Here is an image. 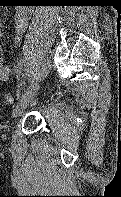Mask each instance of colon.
<instances>
[{
	"mask_svg": "<svg viewBox=\"0 0 121 197\" xmlns=\"http://www.w3.org/2000/svg\"><path fill=\"white\" fill-rule=\"evenodd\" d=\"M2 100L5 104L11 105L14 102V97L11 93L5 92L2 94Z\"/></svg>",
	"mask_w": 121,
	"mask_h": 197,
	"instance_id": "colon-1",
	"label": "colon"
}]
</instances>
